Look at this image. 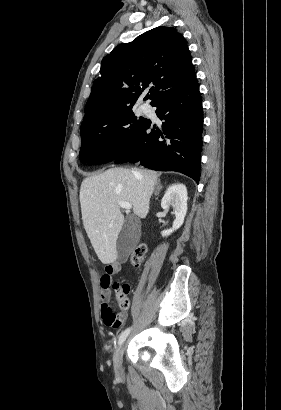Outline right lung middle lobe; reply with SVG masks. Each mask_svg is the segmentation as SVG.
<instances>
[{
    "label": "right lung middle lobe",
    "instance_id": "obj_1",
    "mask_svg": "<svg viewBox=\"0 0 281 410\" xmlns=\"http://www.w3.org/2000/svg\"><path fill=\"white\" fill-rule=\"evenodd\" d=\"M148 119L137 117L132 106L106 112L81 125L80 160L89 165L115 160L137 137Z\"/></svg>",
    "mask_w": 281,
    "mask_h": 410
}]
</instances>
